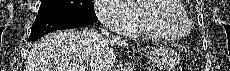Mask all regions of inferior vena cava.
Returning a JSON list of instances; mask_svg holds the SVG:
<instances>
[{"mask_svg":"<svg viewBox=\"0 0 230 71\" xmlns=\"http://www.w3.org/2000/svg\"><path fill=\"white\" fill-rule=\"evenodd\" d=\"M101 33L105 38H107L110 35V33L108 32V30L106 28L105 29L102 28Z\"/></svg>","mask_w":230,"mask_h":71,"instance_id":"1","label":"inferior vena cava"}]
</instances>
